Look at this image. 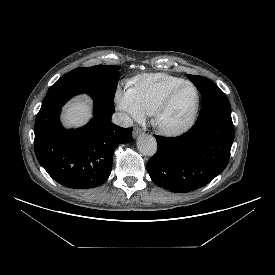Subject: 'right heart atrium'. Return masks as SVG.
<instances>
[{"label":"right heart atrium","instance_id":"right-heart-atrium-1","mask_svg":"<svg viewBox=\"0 0 275 275\" xmlns=\"http://www.w3.org/2000/svg\"><path fill=\"white\" fill-rule=\"evenodd\" d=\"M116 102L118 108L128 120H140L145 116V113L136 100L133 87L118 89Z\"/></svg>","mask_w":275,"mask_h":275}]
</instances>
